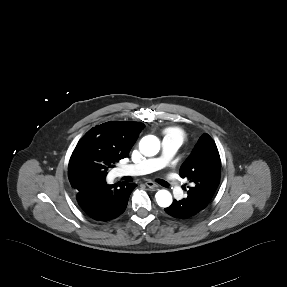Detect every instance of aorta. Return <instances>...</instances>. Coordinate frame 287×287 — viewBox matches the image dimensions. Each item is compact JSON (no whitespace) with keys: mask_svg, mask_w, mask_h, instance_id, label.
<instances>
[{"mask_svg":"<svg viewBox=\"0 0 287 287\" xmlns=\"http://www.w3.org/2000/svg\"><path fill=\"white\" fill-rule=\"evenodd\" d=\"M139 149L145 156H154L160 150V141L154 135H147L140 140ZM155 198L160 207H169L172 204V195L168 190H159Z\"/></svg>","mask_w":287,"mask_h":287,"instance_id":"762f6f07","label":"aorta"}]
</instances>
